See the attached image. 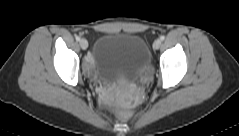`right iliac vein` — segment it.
<instances>
[{"label": "right iliac vein", "mask_w": 239, "mask_h": 136, "mask_svg": "<svg viewBox=\"0 0 239 136\" xmlns=\"http://www.w3.org/2000/svg\"><path fill=\"white\" fill-rule=\"evenodd\" d=\"M80 46H81L82 49H87V47H88L87 40L86 39H81L80 40Z\"/></svg>", "instance_id": "1"}]
</instances>
